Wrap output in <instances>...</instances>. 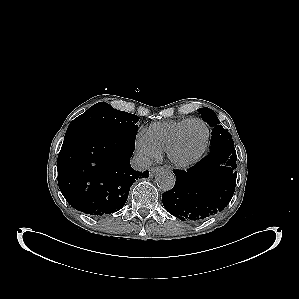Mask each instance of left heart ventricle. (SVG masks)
Masks as SVG:
<instances>
[{"mask_svg":"<svg viewBox=\"0 0 299 299\" xmlns=\"http://www.w3.org/2000/svg\"><path fill=\"white\" fill-rule=\"evenodd\" d=\"M206 135L205 127L199 122H193L185 129L181 141L174 152L179 160L192 157L202 146Z\"/></svg>","mask_w":299,"mask_h":299,"instance_id":"obj_1","label":"left heart ventricle"}]
</instances>
